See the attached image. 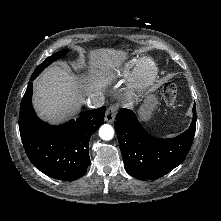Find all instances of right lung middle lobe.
Wrapping results in <instances>:
<instances>
[{"instance_id": "right-lung-middle-lobe-1", "label": "right lung middle lobe", "mask_w": 221, "mask_h": 221, "mask_svg": "<svg viewBox=\"0 0 221 221\" xmlns=\"http://www.w3.org/2000/svg\"><path fill=\"white\" fill-rule=\"evenodd\" d=\"M67 53V50H63V51H60V52H57L55 53L54 55L50 56V57H47L37 68L36 70L34 71L32 78H36L39 73H41L43 71L44 68H46L49 64H51L53 61L61 58L62 56H64L65 54Z\"/></svg>"}]
</instances>
